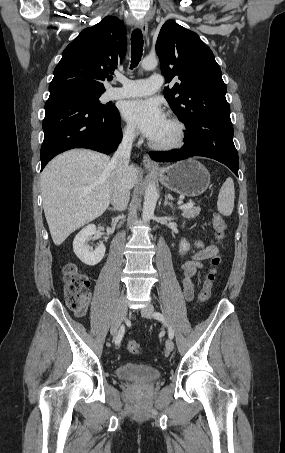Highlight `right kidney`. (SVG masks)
<instances>
[{
	"mask_svg": "<svg viewBox=\"0 0 285 453\" xmlns=\"http://www.w3.org/2000/svg\"><path fill=\"white\" fill-rule=\"evenodd\" d=\"M95 233L96 226L90 224L83 228L73 241L74 253L84 264L89 266L97 265L103 259L106 250L104 244H100L95 250L87 244Z\"/></svg>",
	"mask_w": 285,
	"mask_h": 453,
	"instance_id": "obj_1",
	"label": "right kidney"
}]
</instances>
